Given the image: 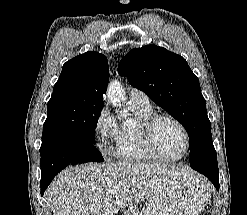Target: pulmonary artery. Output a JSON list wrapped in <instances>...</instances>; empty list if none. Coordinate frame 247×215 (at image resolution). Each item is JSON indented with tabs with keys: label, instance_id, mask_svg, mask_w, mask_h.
Listing matches in <instances>:
<instances>
[{
	"label": "pulmonary artery",
	"instance_id": "1",
	"mask_svg": "<svg viewBox=\"0 0 247 215\" xmlns=\"http://www.w3.org/2000/svg\"><path fill=\"white\" fill-rule=\"evenodd\" d=\"M129 103L139 107H150L149 97L138 89H131Z\"/></svg>",
	"mask_w": 247,
	"mask_h": 215
}]
</instances>
